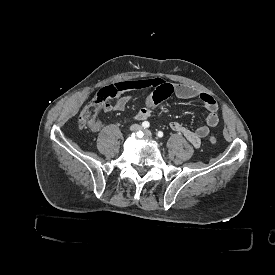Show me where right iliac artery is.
Segmentation results:
<instances>
[{"label":"right iliac artery","mask_w":275,"mask_h":275,"mask_svg":"<svg viewBox=\"0 0 275 275\" xmlns=\"http://www.w3.org/2000/svg\"><path fill=\"white\" fill-rule=\"evenodd\" d=\"M150 126V123L148 121H144L142 123V127L145 129V128H148Z\"/></svg>","instance_id":"1"}]
</instances>
